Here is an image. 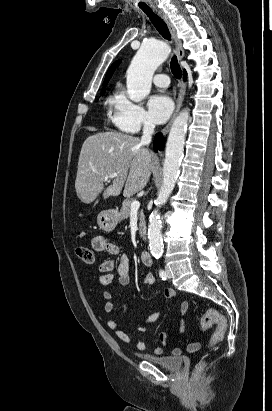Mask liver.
<instances>
[{"instance_id":"liver-1","label":"liver","mask_w":272,"mask_h":411,"mask_svg":"<svg viewBox=\"0 0 272 411\" xmlns=\"http://www.w3.org/2000/svg\"><path fill=\"white\" fill-rule=\"evenodd\" d=\"M153 168V154L143 147L138 137L123 133L102 132L89 136L79 155L75 180L77 196L83 203H92L103 191V198L132 196L148 183ZM111 184L105 189L104 178Z\"/></svg>"}]
</instances>
